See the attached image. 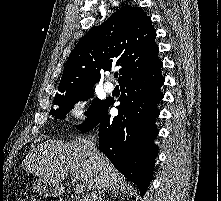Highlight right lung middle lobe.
Returning a JSON list of instances; mask_svg holds the SVG:
<instances>
[{"label":"right lung middle lobe","instance_id":"obj_1","mask_svg":"<svg viewBox=\"0 0 221 201\" xmlns=\"http://www.w3.org/2000/svg\"><path fill=\"white\" fill-rule=\"evenodd\" d=\"M93 89H86L81 91H74L65 95L55 96L54 104L59 106V109L52 110V115L57 119H63L68 113L69 109L79 100H88L93 97ZM108 100H99L98 98L93 100L92 105L85 113L88 117L82 125H78L77 129L83 131L97 123L100 115L107 105Z\"/></svg>","mask_w":221,"mask_h":201}]
</instances>
